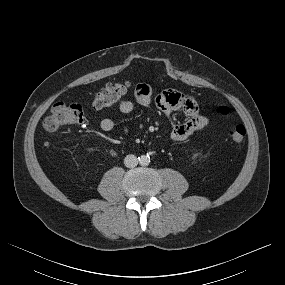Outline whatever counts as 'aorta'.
<instances>
[{
	"mask_svg": "<svg viewBox=\"0 0 285 285\" xmlns=\"http://www.w3.org/2000/svg\"><path fill=\"white\" fill-rule=\"evenodd\" d=\"M139 163H140V165H142V166H147V165H149V163H150V157L147 156V155H141V156L139 157Z\"/></svg>",
	"mask_w": 285,
	"mask_h": 285,
	"instance_id": "762f6f07",
	"label": "aorta"
}]
</instances>
